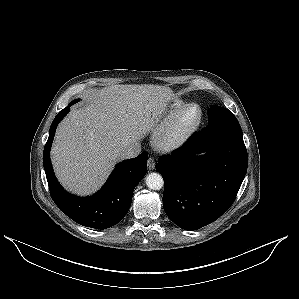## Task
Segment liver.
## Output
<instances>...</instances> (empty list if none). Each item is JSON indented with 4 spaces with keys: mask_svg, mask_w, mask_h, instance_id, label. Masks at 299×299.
<instances>
[{
    "mask_svg": "<svg viewBox=\"0 0 299 299\" xmlns=\"http://www.w3.org/2000/svg\"><path fill=\"white\" fill-rule=\"evenodd\" d=\"M174 97L160 85H115L90 96L59 124L51 150L61 184L78 195L95 192L120 153L153 129Z\"/></svg>",
    "mask_w": 299,
    "mask_h": 299,
    "instance_id": "liver-1",
    "label": "liver"
}]
</instances>
